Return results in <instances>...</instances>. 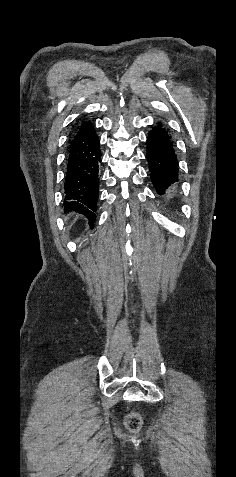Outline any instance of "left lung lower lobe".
Returning a JSON list of instances; mask_svg holds the SVG:
<instances>
[{"instance_id":"1","label":"left lung lower lobe","mask_w":236,"mask_h":477,"mask_svg":"<svg viewBox=\"0 0 236 477\" xmlns=\"http://www.w3.org/2000/svg\"><path fill=\"white\" fill-rule=\"evenodd\" d=\"M146 157L157 193L171 204L178 187L179 167L173 142L161 122L149 132Z\"/></svg>"}]
</instances>
